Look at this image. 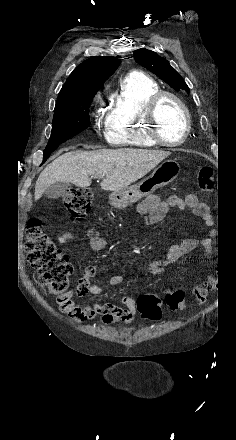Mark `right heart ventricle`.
<instances>
[{
  "instance_id": "1",
  "label": "right heart ventricle",
  "mask_w": 236,
  "mask_h": 440,
  "mask_svg": "<svg viewBox=\"0 0 236 440\" xmlns=\"http://www.w3.org/2000/svg\"><path fill=\"white\" fill-rule=\"evenodd\" d=\"M160 91L158 83L143 73H130L110 97L105 119L107 141L116 147L151 148L144 119L148 100Z\"/></svg>"
}]
</instances>
